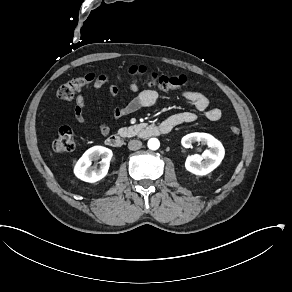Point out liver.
Listing matches in <instances>:
<instances>
[{
	"instance_id": "obj_1",
	"label": "liver",
	"mask_w": 292,
	"mask_h": 292,
	"mask_svg": "<svg viewBox=\"0 0 292 292\" xmlns=\"http://www.w3.org/2000/svg\"><path fill=\"white\" fill-rule=\"evenodd\" d=\"M48 153H49L50 158L54 161V154L50 148H48Z\"/></svg>"
}]
</instances>
